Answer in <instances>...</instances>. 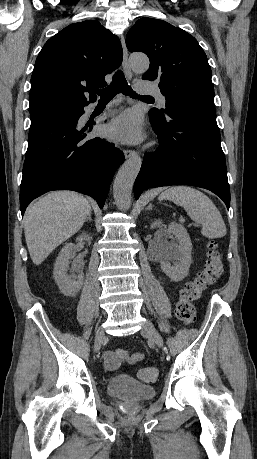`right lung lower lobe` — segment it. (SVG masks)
Here are the masks:
<instances>
[{
  "label": "right lung lower lobe",
  "mask_w": 257,
  "mask_h": 459,
  "mask_svg": "<svg viewBox=\"0 0 257 459\" xmlns=\"http://www.w3.org/2000/svg\"><path fill=\"white\" fill-rule=\"evenodd\" d=\"M84 106L30 114L20 189L22 215L33 199L51 190L78 191L96 199L100 208L104 206L124 155L112 143L90 138L93 125L79 127Z\"/></svg>",
  "instance_id": "obj_1"
}]
</instances>
